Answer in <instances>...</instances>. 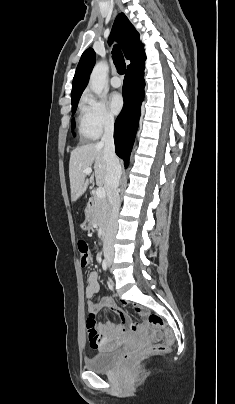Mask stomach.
<instances>
[{
  "label": "stomach",
  "instance_id": "obj_1",
  "mask_svg": "<svg viewBox=\"0 0 235 404\" xmlns=\"http://www.w3.org/2000/svg\"><path fill=\"white\" fill-rule=\"evenodd\" d=\"M81 228L85 231L89 230L91 228V221L89 218V214L87 216V219L85 220V222L81 225Z\"/></svg>",
  "mask_w": 235,
  "mask_h": 404
}]
</instances>
